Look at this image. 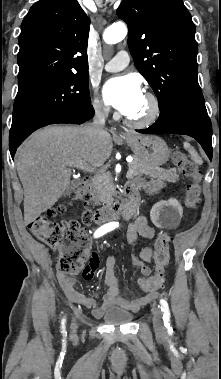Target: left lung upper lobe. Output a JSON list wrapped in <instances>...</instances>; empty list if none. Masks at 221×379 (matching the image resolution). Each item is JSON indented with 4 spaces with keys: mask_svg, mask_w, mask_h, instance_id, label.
Returning <instances> with one entry per match:
<instances>
[{
    "mask_svg": "<svg viewBox=\"0 0 221 379\" xmlns=\"http://www.w3.org/2000/svg\"><path fill=\"white\" fill-rule=\"evenodd\" d=\"M128 47L155 92L159 109L182 104L206 109L197 80L195 25L182 0H122Z\"/></svg>",
    "mask_w": 221,
    "mask_h": 379,
    "instance_id": "left-lung-upper-lobe-1",
    "label": "left lung upper lobe"
}]
</instances>
